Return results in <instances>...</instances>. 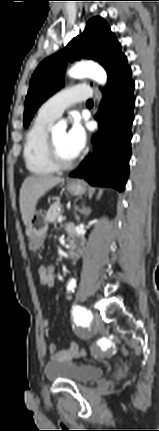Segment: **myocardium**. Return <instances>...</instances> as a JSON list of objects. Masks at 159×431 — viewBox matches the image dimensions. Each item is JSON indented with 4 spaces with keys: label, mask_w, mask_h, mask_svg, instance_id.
<instances>
[{
    "label": "myocardium",
    "mask_w": 159,
    "mask_h": 431,
    "mask_svg": "<svg viewBox=\"0 0 159 431\" xmlns=\"http://www.w3.org/2000/svg\"><path fill=\"white\" fill-rule=\"evenodd\" d=\"M47 155H48L49 161L57 170L70 169L77 162L76 157L70 161H65L60 157L57 147L55 145L52 133H49L47 137Z\"/></svg>",
    "instance_id": "1"
}]
</instances>
